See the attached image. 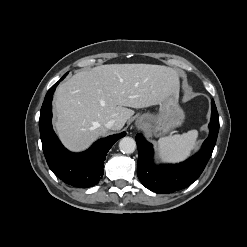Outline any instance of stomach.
I'll use <instances>...</instances> for the list:
<instances>
[{"label":"stomach","instance_id":"obj_1","mask_svg":"<svg viewBox=\"0 0 247 247\" xmlns=\"http://www.w3.org/2000/svg\"><path fill=\"white\" fill-rule=\"evenodd\" d=\"M178 97L179 91L168 95L158 103L156 114L146 113L139 117L145 120L151 134L162 136L182 125L185 114L179 106Z\"/></svg>","mask_w":247,"mask_h":247}]
</instances>
